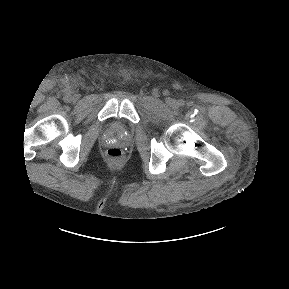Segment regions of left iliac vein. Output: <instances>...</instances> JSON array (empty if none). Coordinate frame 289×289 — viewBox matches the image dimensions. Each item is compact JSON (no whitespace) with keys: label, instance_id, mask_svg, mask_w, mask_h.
Here are the masks:
<instances>
[{"label":"left iliac vein","instance_id":"4c4485c4","mask_svg":"<svg viewBox=\"0 0 289 289\" xmlns=\"http://www.w3.org/2000/svg\"><path fill=\"white\" fill-rule=\"evenodd\" d=\"M174 103H175V102H174L173 100H169V101H168V104H169L170 106H173Z\"/></svg>","mask_w":289,"mask_h":289}]
</instances>
